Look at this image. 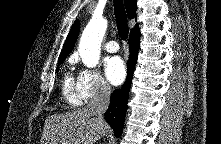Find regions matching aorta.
Returning <instances> with one entry per match:
<instances>
[{
    "label": "aorta",
    "instance_id": "762f6f07",
    "mask_svg": "<svg viewBox=\"0 0 221 144\" xmlns=\"http://www.w3.org/2000/svg\"><path fill=\"white\" fill-rule=\"evenodd\" d=\"M107 24L106 19L93 17L82 33L79 53L82 62L89 68L96 67L99 63L101 42Z\"/></svg>",
    "mask_w": 221,
    "mask_h": 144
}]
</instances>
